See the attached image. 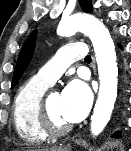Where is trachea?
I'll return each instance as SVG.
<instances>
[{
  "label": "trachea",
  "instance_id": "1",
  "mask_svg": "<svg viewBox=\"0 0 131 151\" xmlns=\"http://www.w3.org/2000/svg\"><path fill=\"white\" fill-rule=\"evenodd\" d=\"M85 61H86V62H91V56H90V55H87V56L85 57Z\"/></svg>",
  "mask_w": 131,
  "mask_h": 151
}]
</instances>
